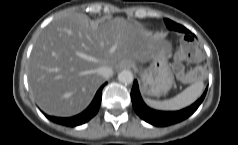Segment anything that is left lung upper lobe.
<instances>
[{"instance_id": "1", "label": "left lung upper lobe", "mask_w": 238, "mask_h": 145, "mask_svg": "<svg viewBox=\"0 0 238 145\" xmlns=\"http://www.w3.org/2000/svg\"><path fill=\"white\" fill-rule=\"evenodd\" d=\"M166 25L169 29L171 30H175V27L179 24L174 23L173 21L169 20V19H165Z\"/></svg>"}]
</instances>
